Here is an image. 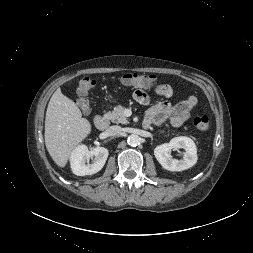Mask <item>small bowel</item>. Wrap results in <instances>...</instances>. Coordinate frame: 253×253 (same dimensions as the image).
Returning <instances> with one entry per match:
<instances>
[{
    "label": "small bowel",
    "mask_w": 253,
    "mask_h": 253,
    "mask_svg": "<svg viewBox=\"0 0 253 253\" xmlns=\"http://www.w3.org/2000/svg\"><path fill=\"white\" fill-rule=\"evenodd\" d=\"M154 91L161 100L147 110L144 121L146 126L162 125L169 121L174 127H179L191 117L192 110L197 104L195 96H189L177 104H171L168 101L173 94L171 86L167 84L156 85ZM133 98L142 105H148L150 102L148 94L142 89L136 90L133 93Z\"/></svg>",
    "instance_id": "c3829d8e"
}]
</instances>
